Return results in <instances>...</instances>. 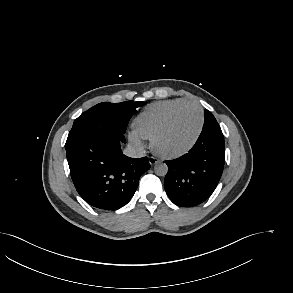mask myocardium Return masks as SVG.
I'll return each mask as SVG.
<instances>
[{
    "mask_svg": "<svg viewBox=\"0 0 293 293\" xmlns=\"http://www.w3.org/2000/svg\"><path fill=\"white\" fill-rule=\"evenodd\" d=\"M186 107H194V108L198 109V111L200 113V125H199V128H198L197 133L195 134L194 138L186 147H184L183 149H181L179 151L167 152V151L160 149L159 144H158L160 137L168 129V127L172 123L175 116ZM204 125H205V114H204L203 108L199 104H197L196 102L189 101V102L184 103L180 106H177L169 113V115L166 117V119L161 124V126L153 134V136L151 138L152 149L157 155H159L160 157H163V158H167V159L180 158V157L186 155L187 153H189L194 148V146L198 142V140L203 132Z\"/></svg>",
    "mask_w": 293,
    "mask_h": 293,
    "instance_id": "1",
    "label": "myocardium"
}]
</instances>
